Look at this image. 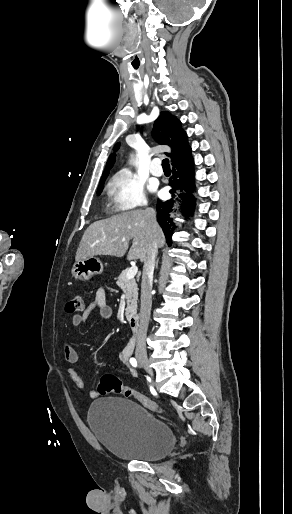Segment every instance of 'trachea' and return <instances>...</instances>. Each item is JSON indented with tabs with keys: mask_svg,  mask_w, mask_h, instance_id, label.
Instances as JSON below:
<instances>
[{
	"mask_svg": "<svg viewBox=\"0 0 292 514\" xmlns=\"http://www.w3.org/2000/svg\"><path fill=\"white\" fill-rule=\"evenodd\" d=\"M162 167H163V170H170V164H169V160L168 159H164L162 161Z\"/></svg>",
	"mask_w": 292,
	"mask_h": 514,
	"instance_id": "1",
	"label": "trachea"
}]
</instances>
